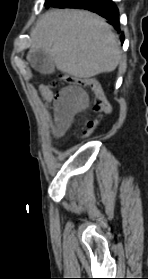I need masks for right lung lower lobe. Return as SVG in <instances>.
<instances>
[{
  "label": "right lung lower lobe",
  "instance_id": "98d812e1",
  "mask_svg": "<svg viewBox=\"0 0 148 279\" xmlns=\"http://www.w3.org/2000/svg\"><path fill=\"white\" fill-rule=\"evenodd\" d=\"M49 6L55 8H79L95 12L109 20L110 24L120 32L119 11L111 0H50L46 8ZM122 42L124 35L121 36Z\"/></svg>",
  "mask_w": 148,
  "mask_h": 279
}]
</instances>
